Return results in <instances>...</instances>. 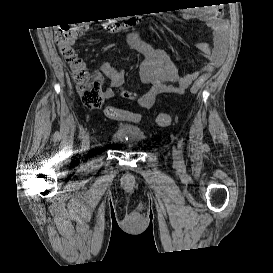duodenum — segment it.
I'll use <instances>...</instances> for the list:
<instances>
[{"instance_id": "410a0bca", "label": "duodenum", "mask_w": 273, "mask_h": 273, "mask_svg": "<svg viewBox=\"0 0 273 273\" xmlns=\"http://www.w3.org/2000/svg\"><path fill=\"white\" fill-rule=\"evenodd\" d=\"M140 24L138 17H127L123 19H111L106 23V28L110 32L125 31L131 27H135Z\"/></svg>"}]
</instances>
